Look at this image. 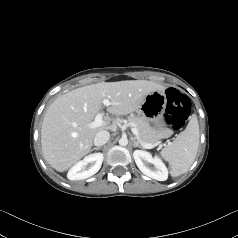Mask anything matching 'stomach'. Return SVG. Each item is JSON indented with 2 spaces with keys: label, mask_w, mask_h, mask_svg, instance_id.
Masks as SVG:
<instances>
[{
  "label": "stomach",
  "mask_w": 238,
  "mask_h": 238,
  "mask_svg": "<svg viewBox=\"0 0 238 238\" xmlns=\"http://www.w3.org/2000/svg\"><path fill=\"white\" fill-rule=\"evenodd\" d=\"M166 105L167 99L164 91H154L145 97L138 113L147 121L155 123L159 128L158 130H166L160 123L165 113Z\"/></svg>",
  "instance_id": "0dacf381"
}]
</instances>
